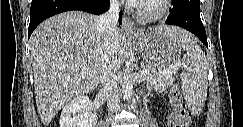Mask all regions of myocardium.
Listing matches in <instances>:
<instances>
[{
    "instance_id": "myocardium-1",
    "label": "myocardium",
    "mask_w": 243,
    "mask_h": 127,
    "mask_svg": "<svg viewBox=\"0 0 243 127\" xmlns=\"http://www.w3.org/2000/svg\"><path fill=\"white\" fill-rule=\"evenodd\" d=\"M158 1V8L154 11H146L143 7L144 1L135 6V15L142 21L151 22L164 17L169 10V0H156Z\"/></svg>"
}]
</instances>
